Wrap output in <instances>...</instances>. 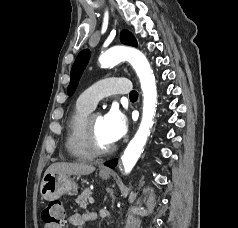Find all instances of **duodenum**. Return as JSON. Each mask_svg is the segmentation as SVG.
I'll return each instance as SVG.
<instances>
[{
  "label": "duodenum",
  "instance_id": "duodenum-1",
  "mask_svg": "<svg viewBox=\"0 0 238 228\" xmlns=\"http://www.w3.org/2000/svg\"><path fill=\"white\" fill-rule=\"evenodd\" d=\"M87 218L94 219V218H96V214H95V213H89V214L87 215Z\"/></svg>",
  "mask_w": 238,
  "mask_h": 228
}]
</instances>
